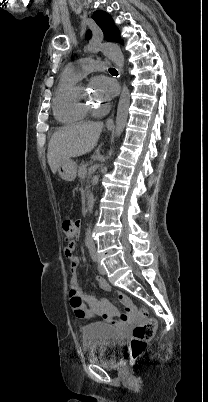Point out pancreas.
<instances>
[{
  "label": "pancreas",
  "mask_w": 208,
  "mask_h": 402,
  "mask_svg": "<svg viewBox=\"0 0 208 402\" xmlns=\"http://www.w3.org/2000/svg\"><path fill=\"white\" fill-rule=\"evenodd\" d=\"M86 166H88V164H80L78 172H83V170H85ZM88 188H90V186H88Z\"/></svg>",
  "instance_id": "obj_1"
}]
</instances>
